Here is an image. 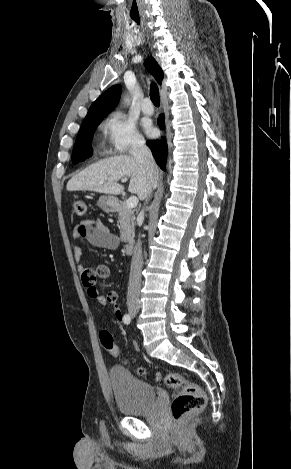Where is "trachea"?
I'll return each instance as SVG.
<instances>
[{
  "label": "trachea",
  "mask_w": 291,
  "mask_h": 469,
  "mask_svg": "<svg viewBox=\"0 0 291 469\" xmlns=\"http://www.w3.org/2000/svg\"><path fill=\"white\" fill-rule=\"evenodd\" d=\"M150 98L155 106L158 107L160 105L159 90L154 82H152L150 86Z\"/></svg>",
  "instance_id": "obj_1"
}]
</instances>
